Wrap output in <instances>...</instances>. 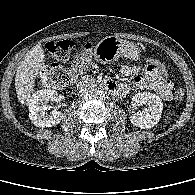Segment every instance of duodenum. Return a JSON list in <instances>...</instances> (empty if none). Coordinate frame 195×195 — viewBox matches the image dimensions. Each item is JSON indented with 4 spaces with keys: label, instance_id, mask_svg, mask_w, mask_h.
Returning <instances> with one entry per match:
<instances>
[{
    "label": "duodenum",
    "instance_id": "obj_1",
    "mask_svg": "<svg viewBox=\"0 0 195 195\" xmlns=\"http://www.w3.org/2000/svg\"><path fill=\"white\" fill-rule=\"evenodd\" d=\"M77 86L80 90H84L91 87H100L106 89L113 94H116V92L118 91V87L113 81L94 82L89 78H83L78 82Z\"/></svg>",
    "mask_w": 195,
    "mask_h": 195
}]
</instances>
